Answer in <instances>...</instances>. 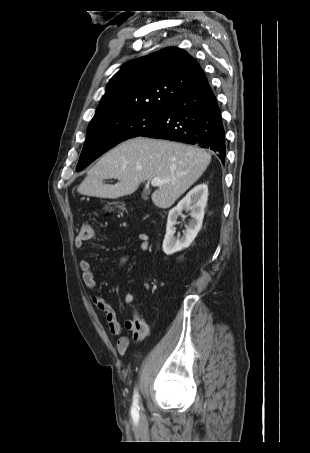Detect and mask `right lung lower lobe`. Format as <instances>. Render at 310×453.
<instances>
[{
    "instance_id": "1",
    "label": "right lung lower lobe",
    "mask_w": 310,
    "mask_h": 453,
    "mask_svg": "<svg viewBox=\"0 0 310 453\" xmlns=\"http://www.w3.org/2000/svg\"><path fill=\"white\" fill-rule=\"evenodd\" d=\"M139 136L198 144L225 162V131L217 99L204 77L169 104L159 120Z\"/></svg>"
}]
</instances>
